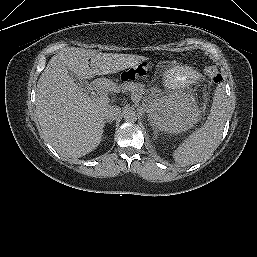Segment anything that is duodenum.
Here are the masks:
<instances>
[{
	"label": "duodenum",
	"mask_w": 257,
	"mask_h": 257,
	"mask_svg": "<svg viewBox=\"0 0 257 257\" xmlns=\"http://www.w3.org/2000/svg\"><path fill=\"white\" fill-rule=\"evenodd\" d=\"M99 88V85L97 84V83H93L92 85H91V90L92 91H95V90H97Z\"/></svg>",
	"instance_id": "410a0bca"
}]
</instances>
